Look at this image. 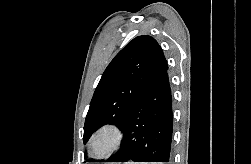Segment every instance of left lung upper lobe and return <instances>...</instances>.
<instances>
[{"mask_svg":"<svg viewBox=\"0 0 251 164\" xmlns=\"http://www.w3.org/2000/svg\"><path fill=\"white\" fill-rule=\"evenodd\" d=\"M167 68L154 38L142 35L130 41L110 62L97 85L86 115L84 143L104 124L122 130L138 97Z\"/></svg>","mask_w":251,"mask_h":164,"instance_id":"left-lung-upper-lobe-1","label":"left lung upper lobe"}]
</instances>
